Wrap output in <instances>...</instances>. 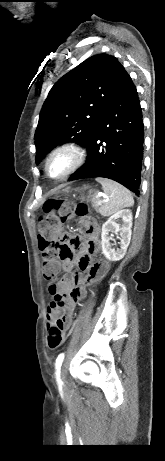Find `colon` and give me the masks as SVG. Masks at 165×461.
Segmentation results:
<instances>
[{"label":"colon","mask_w":165,"mask_h":461,"mask_svg":"<svg viewBox=\"0 0 165 461\" xmlns=\"http://www.w3.org/2000/svg\"><path fill=\"white\" fill-rule=\"evenodd\" d=\"M80 209L86 213L84 205L75 206L72 202L62 199H50L43 205L45 216L39 221V246L44 250L43 277L46 280H54L56 277V268L52 261L56 256L59 257V251H72L73 245H66L55 237L67 217L74 212L78 214ZM95 264L100 268L106 266V262L103 260L97 261ZM63 329L61 317H57L48 324V344L51 349H56L63 344Z\"/></svg>","instance_id":"1"}]
</instances>
